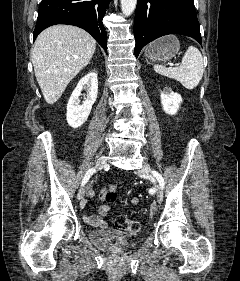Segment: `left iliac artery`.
I'll list each match as a JSON object with an SVG mask.
<instances>
[{"instance_id":"left-iliac-artery-1","label":"left iliac artery","mask_w":240,"mask_h":281,"mask_svg":"<svg viewBox=\"0 0 240 281\" xmlns=\"http://www.w3.org/2000/svg\"><path fill=\"white\" fill-rule=\"evenodd\" d=\"M152 173L157 178L161 188L163 189L164 188V179H163L162 175L157 171H152Z\"/></svg>"}]
</instances>
